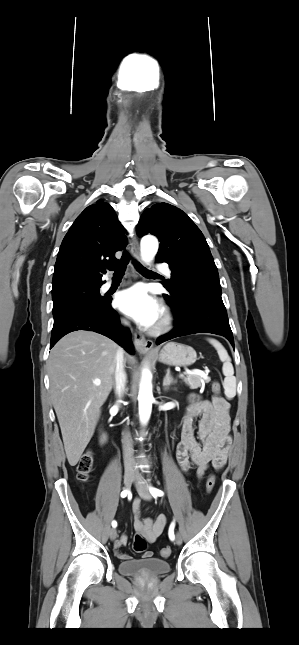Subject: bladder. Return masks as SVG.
Segmentation results:
<instances>
[{"label": "bladder", "mask_w": 299, "mask_h": 645, "mask_svg": "<svg viewBox=\"0 0 299 645\" xmlns=\"http://www.w3.org/2000/svg\"><path fill=\"white\" fill-rule=\"evenodd\" d=\"M171 569L167 560L149 557L130 559L119 563L118 570L122 575L132 577H156L167 574Z\"/></svg>", "instance_id": "bladder-1"}]
</instances>
